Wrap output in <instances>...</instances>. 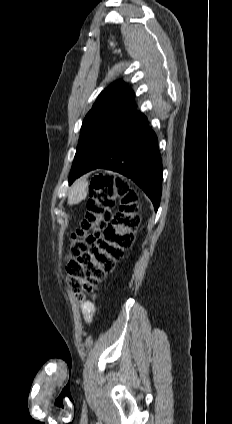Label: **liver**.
Instances as JSON below:
<instances>
[{
	"instance_id": "obj_1",
	"label": "liver",
	"mask_w": 232,
	"mask_h": 424,
	"mask_svg": "<svg viewBox=\"0 0 232 424\" xmlns=\"http://www.w3.org/2000/svg\"><path fill=\"white\" fill-rule=\"evenodd\" d=\"M88 183L86 179L77 180L71 187L68 194V204L75 205L84 200L87 196Z\"/></svg>"
}]
</instances>
